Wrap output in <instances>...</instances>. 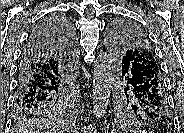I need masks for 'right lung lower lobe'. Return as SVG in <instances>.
I'll return each instance as SVG.
<instances>
[{
  "label": "right lung lower lobe",
  "instance_id": "1",
  "mask_svg": "<svg viewBox=\"0 0 184 133\" xmlns=\"http://www.w3.org/2000/svg\"><path fill=\"white\" fill-rule=\"evenodd\" d=\"M74 44L73 27L63 15H49L39 23L21 54L15 104H43L67 94Z\"/></svg>",
  "mask_w": 184,
  "mask_h": 133
}]
</instances>
